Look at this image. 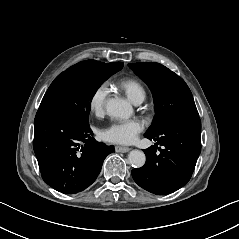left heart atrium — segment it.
<instances>
[{
	"mask_svg": "<svg viewBox=\"0 0 239 239\" xmlns=\"http://www.w3.org/2000/svg\"><path fill=\"white\" fill-rule=\"evenodd\" d=\"M144 129V121L140 118L130 120H112L101 132V137L105 141L132 144Z\"/></svg>",
	"mask_w": 239,
	"mask_h": 239,
	"instance_id": "obj_1",
	"label": "left heart atrium"
}]
</instances>
